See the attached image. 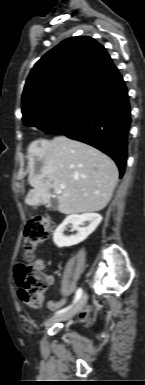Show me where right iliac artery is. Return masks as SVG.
<instances>
[{"mask_svg": "<svg viewBox=\"0 0 145 385\" xmlns=\"http://www.w3.org/2000/svg\"><path fill=\"white\" fill-rule=\"evenodd\" d=\"M82 289L81 288H79L77 291H76V294H75V299H74V302H73V304L72 305H70V306H68V307H66V308H64V309H62V310H60V311H58L56 314H61V313H63V312H66L67 310H69L80 298H81V296H82Z\"/></svg>", "mask_w": 145, "mask_h": 385, "instance_id": "82829eb1", "label": "right iliac artery"}]
</instances>
